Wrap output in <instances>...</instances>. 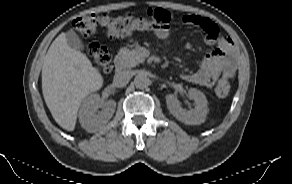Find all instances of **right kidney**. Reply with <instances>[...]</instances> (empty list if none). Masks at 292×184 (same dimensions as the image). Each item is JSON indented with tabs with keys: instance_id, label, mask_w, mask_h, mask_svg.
I'll use <instances>...</instances> for the list:
<instances>
[{
	"instance_id": "1",
	"label": "right kidney",
	"mask_w": 292,
	"mask_h": 184,
	"mask_svg": "<svg viewBox=\"0 0 292 184\" xmlns=\"http://www.w3.org/2000/svg\"><path fill=\"white\" fill-rule=\"evenodd\" d=\"M98 107H102L103 110L96 114ZM115 108L116 102L114 100L100 104V96L91 94L81 104L79 122L86 131L95 133L112 118Z\"/></svg>"
}]
</instances>
